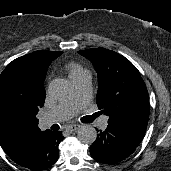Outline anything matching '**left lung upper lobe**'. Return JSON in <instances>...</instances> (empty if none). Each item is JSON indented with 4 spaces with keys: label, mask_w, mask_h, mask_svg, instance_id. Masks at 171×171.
<instances>
[{
    "label": "left lung upper lobe",
    "mask_w": 171,
    "mask_h": 171,
    "mask_svg": "<svg viewBox=\"0 0 171 171\" xmlns=\"http://www.w3.org/2000/svg\"><path fill=\"white\" fill-rule=\"evenodd\" d=\"M98 74L96 102L108 125L143 139L149 119V96L137 68L122 55L96 48L78 51Z\"/></svg>",
    "instance_id": "5c2ea615"
}]
</instances>
